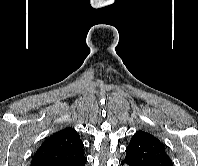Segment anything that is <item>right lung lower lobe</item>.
Segmentation results:
<instances>
[{
  "instance_id": "98d812e1",
  "label": "right lung lower lobe",
  "mask_w": 198,
  "mask_h": 166,
  "mask_svg": "<svg viewBox=\"0 0 198 166\" xmlns=\"http://www.w3.org/2000/svg\"><path fill=\"white\" fill-rule=\"evenodd\" d=\"M86 161H87V159H86V160H84L83 162H80V163L74 164L73 166H85Z\"/></svg>"
}]
</instances>
